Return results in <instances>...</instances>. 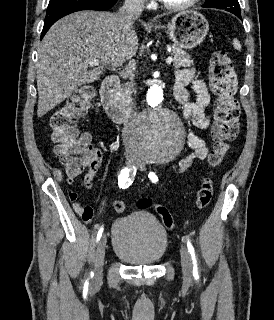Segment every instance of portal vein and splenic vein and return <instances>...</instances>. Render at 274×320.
<instances>
[{"label":"portal vein and splenic vein","mask_w":274,"mask_h":320,"mask_svg":"<svg viewBox=\"0 0 274 320\" xmlns=\"http://www.w3.org/2000/svg\"><path fill=\"white\" fill-rule=\"evenodd\" d=\"M173 58L172 56H169L166 60V64H172ZM90 66H99V60H93V62H90Z\"/></svg>","instance_id":"obj_1"}]
</instances>
